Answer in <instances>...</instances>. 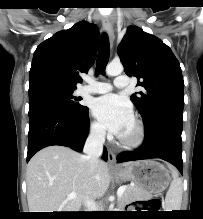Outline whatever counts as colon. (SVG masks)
I'll return each instance as SVG.
<instances>
[{"instance_id":"5ec220e1","label":"colon","mask_w":203,"mask_h":219,"mask_svg":"<svg viewBox=\"0 0 203 219\" xmlns=\"http://www.w3.org/2000/svg\"><path fill=\"white\" fill-rule=\"evenodd\" d=\"M161 201L158 198L151 199L147 202V206L151 209L158 210L160 208Z\"/></svg>"}]
</instances>
